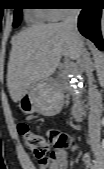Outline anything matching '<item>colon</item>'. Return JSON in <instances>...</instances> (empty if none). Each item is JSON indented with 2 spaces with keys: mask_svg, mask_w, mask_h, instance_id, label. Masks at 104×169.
I'll return each instance as SVG.
<instances>
[{
  "mask_svg": "<svg viewBox=\"0 0 104 169\" xmlns=\"http://www.w3.org/2000/svg\"><path fill=\"white\" fill-rule=\"evenodd\" d=\"M18 130L24 139L27 149L40 164L47 162V153L52 144L56 147L64 148L70 141L69 136L55 129L48 130L45 134H42L29 125L22 123L19 125Z\"/></svg>",
  "mask_w": 104,
  "mask_h": 169,
  "instance_id": "5ec220e1",
  "label": "colon"
}]
</instances>
